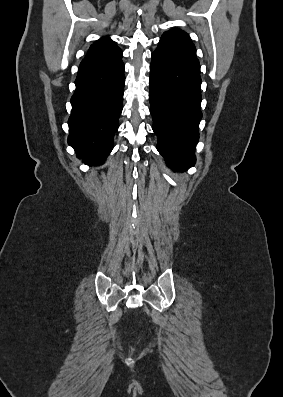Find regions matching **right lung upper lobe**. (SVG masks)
<instances>
[{
    "label": "right lung upper lobe",
    "instance_id": "1",
    "mask_svg": "<svg viewBox=\"0 0 283 397\" xmlns=\"http://www.w3.org/2000/svg\"><path fill=\"white\" fill-rule=\"evenodd\" d=\"M122 57V51L108 37H103L92 44L86 57L80 63L79 68H87L109 63Z\"/></svg>",
    "mask_w": 283,
    "mask_h": 397
}]
</instances>
